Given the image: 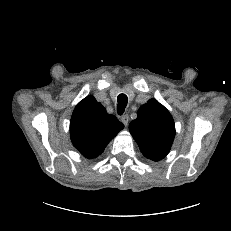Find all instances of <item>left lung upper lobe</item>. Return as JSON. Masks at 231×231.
I'll return each mask as SVG.
<instances>
[{"mask_svg": "<svg viewBox=\"0 0 231 231\" xmlns=\"http://www.w3.org/2000/svg\"><path fill=\"white\" fill-rule=\"evenodd\" d=\"M129 130L142 154L153 161H159L169 153L175 137L171 114L155 99L140 107L137 118L129 124Z\"/></svg>", "mask_w": 231, "mask_h": 231, "instance_id": "left-lung-upper-lobe-1", "label": "left lung upper lobe"}]
</instances>
